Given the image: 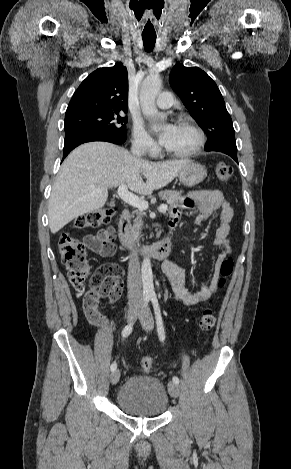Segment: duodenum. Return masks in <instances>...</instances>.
I'll list each match as a JSON object with an SVG mask.
<instances>
[{
  "label": "duodenum",
  "instance_id": "410a0bca",
  "mask_svg": "<svg viewBox=\"0 0 291 469\" xmlns=\"http://www.w3.org/2000/svg\"><path fill=\"white\" fill-rule=\"evenodd\" d=\"M170 229H172L170 227ZM119 239L126 248L130 250H139L142 254L156 259H165L169 256L172 249V238H166L151 245H139L133 238L130 226V212L124 209L118 223Z\"/></svg>",
  "mask_w": 291,
  "mask_h": 469
}]
</instances>
